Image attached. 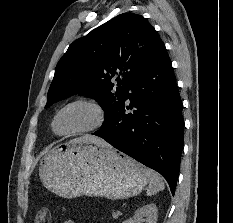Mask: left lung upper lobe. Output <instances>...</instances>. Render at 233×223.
Here are the masks:
<instances>
[{
  "instance_id": "1",
  "label": "left lung upper lobe",
  "mask_w": 233,
  "mask_h": 223,
  "mask_svg": "<svg viewBox=\"0 0 233 223\" xmlns=\"http://www.w3.org/2000/svg\"><path fill=\"white\" fill-rule=\"evenodd\" d=\"M160 40L141 15L123 13L73 42L59 60L45 108L74 94L93 96L104 125L125 105ZM116 77V92L111 82ZM114 91V92H112Z\"/></svg>"
}]
</instances>
